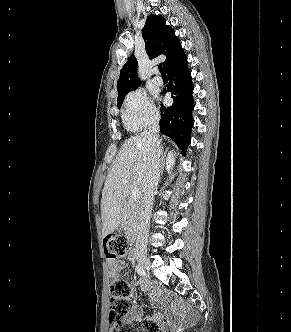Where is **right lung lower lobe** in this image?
<instances>
[{
  "label": "right lung lower lobe",
  "mask_w": 291,
  "mask_h": 332,
  "mask_svg": "<svg viewBox=\"0 0 291 332\" xmlns=\"http://www.w3.org/2000/svg\"><path fill=\"white\" fill-rule=\"evenodd\" d=\"M187 63L185 56L166 70L169 83L164 93L171 92L174 102L170 107L161 106L160 120L161 133L172 138L183 152L190 144L194 123L193 84Z\"/></svg>",
  "instance_id": "right-lung-lower-lobe-1"
}]
</instances>
